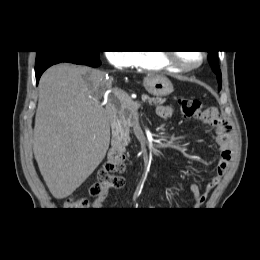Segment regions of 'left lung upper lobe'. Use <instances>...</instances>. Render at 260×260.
I'll return each instance as SVG.
<instances>
[{
  "mask_svg": "<svg viewBox=\"0 0 260 260\" xmlns=\"http://www.w3.org/2000/svg\"><path fill=\"white\" fill-rule=\"evenodd\" d=\"M209 52V64L211 65L213 71L216 73L217 75V79H218V83H219V89L221 88V83H222V79H221V71L218 65V57H217V51H208Z\"/></svg>",
  "mask_w": 260,
  "mask_h": 260,
  "instance_id": "left-lung-upper-lobe-1",
  "label": "left lung upper lobe"
}]
</instances>
